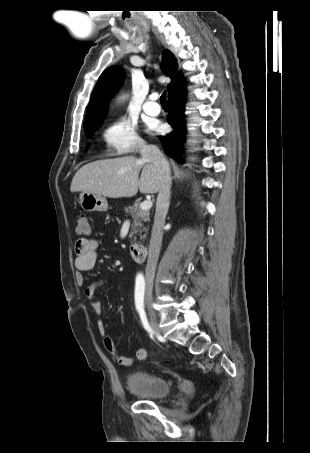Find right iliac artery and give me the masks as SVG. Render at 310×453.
Listing matches in <instances>:
<instances>
[{
	"label": "right iliac artery",
	"mask_w": 310,
	"mask_h": 453,
	"mask_svg": "<svg viewBox=\"0 0 310 453\" xmlns=\"http://www.w3.org/2000/svg\"><path fill=\"white\" fill-rule=\"evenodd\" d=\"M144 290L145 281L142 274H138L135 284V306L137 311L141 314L144 313Z\"/></svg>",
	"instance_id": "82829eb1"
}]
</instances>
